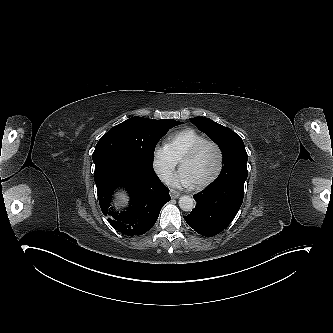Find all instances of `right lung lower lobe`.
Here are the masks:
<instances>
[{"label":"right lung lower lobe","mask_w":333,"mask_h":333,"mask_svg":"<svg viewBox=\"0 0 333 333\" xmlns=\"http://www.w3.org/2000/svg\"><path fill=\"white\" fill-rule=\"evenodd\" d=\"M92 158L99 204L109 223L132 237L150 230L163 205L171 199L169 189L160 182L152 166L145 164L124 142L104 135ZM118 186L125 187L130 194V206L122 213L109 208Z\"/></svg>","instance_id":"right-lung-lower-lobe-1"}]
</instances>
